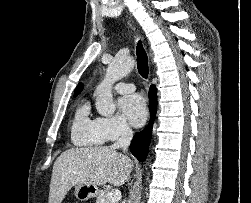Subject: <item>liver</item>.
<instances>
[{"instance_id":"1","label":"liver","mask_w":251,"mask_h":203,"mask_svg":"<svg viewBox=\"0 0 251 203\" xmlns=\"http://www.w3.org/2000/svg\"><path fill=\"white\" fill-rule=\"evenodd\" d=\"M133 167L130 158L112 146L73 148L64 151L52 170L49 203H61L77 184L122 186Z\"/></svg>"}]
</instances>
